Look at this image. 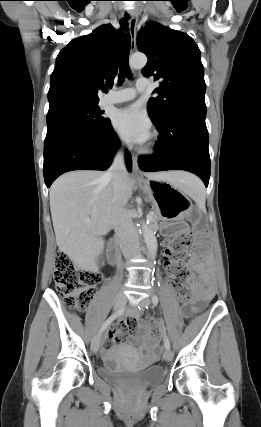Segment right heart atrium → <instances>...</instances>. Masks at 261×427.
<instances>
[{
  "instance_id": "1",
  "label": "right heart atrium",
  "mask_w": 261,
  "mask_h": 427,
  "mask_svg": "<svg viewBox=\"0 0 261 427\" xmlns=\"http://www.w3.org/2000/svg\"><path fill=\"white\" fill-rule=\"evenodd\" d=\"M118 145H119L120 148L122 147V142H121L120 138H118Z\"/></svg>"
}]
</instances>
